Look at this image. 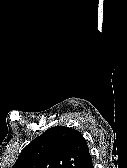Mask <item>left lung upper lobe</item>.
Segmentation results:
<instances>
[{
	"mask_svg": "<svg viewBox=\"0 0 127 168\" xmlns=\"http://www.w3.org/2000/svg\"><path fill=\"white\" fill-rule=\"evenodd\" d=\"M87 150L79 131L55 126L28 144L12 168H80Z\"/></svg>",
	"mask_w": 127,
	"mask_h": 168,
	"instance_id": "left-lung-upper-lobe-1",
	"label": "left lung upper lobe"
}]
</instances>
